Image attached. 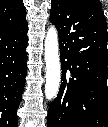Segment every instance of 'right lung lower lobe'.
Instances as JSON below:
<instances>
[{"label":"right lung lower lobe","mask_w":108,"mask_h":127,"mask_svg":"<svg viewBox=\"0 0 108 127\" xmlns=\"http://www.w3.org/2000/svg\"><path fill=\"white\" fill-rule=\"evenodd\" d=\"M27 31L26 21L0 29V127H17L27 73Z\"/></svg>","instance_id":"right-lung-lower-lobe-1"}]
</instances>
